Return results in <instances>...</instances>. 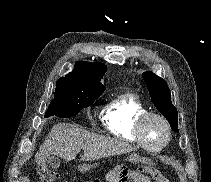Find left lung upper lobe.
<instances>
[{
  "label": "left lung upper lobe",
  "instance_id": "5c2ea615",
  "mask_svg": "<svg viewBox=\"0 0 211 182\" xmlns=\"http://www.w3.org/2000/svg\"><path fill=\"white\" fill-rule=\"evenodd\" d=\"M142 76L154 105L169 121L172 130L179 132L177 109L171 102L170 89L166 81L151 71L144 72Z\"/></svg>",
  "mask_w": 211,
  "mask_h": 182
}]
</instances>
